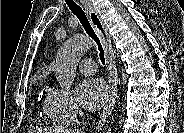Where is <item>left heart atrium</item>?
<instances>
[{"mask_svg":"<svg viewBox=\"0 0 184 133\" xmlns=\"http://www.w3.org/2000/svg\"><path fill=\"white\" fill-rule=\"evenodd\" d=\"M78 103L87 110H97L108 98L106 84L98 78L83 80L76 89Z\"/></svg>","mask_w":184,"mask_h":133,"instance_id":"1","label":"left heart atrium"}]
</instances>
